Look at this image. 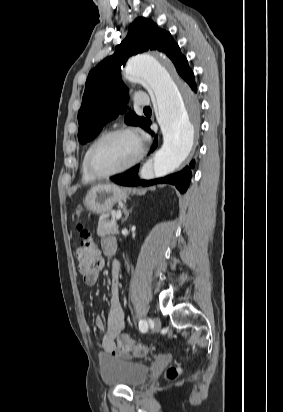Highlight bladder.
I'll return each mask as SVG.
<instances>
[{
    "label": "bladder",
    "instance_id": "obj_1",
    "mask_svg": "<svg viewBox=\"0 0 283 412\" xmlns=\"http://www.w3.org/2000/svg\"><path fill=\"white\" fill-rule=\"evenodd\" d=\"M102 382L109 387L137 388L149 375L148 366L131 360L102 357L99 361Z\"/></svg>",
    "mask_w": 283,
    "mask_h": 412
}]
</instances>
